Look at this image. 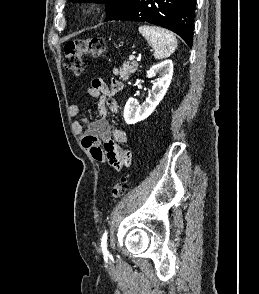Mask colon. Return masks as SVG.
Instances as JSON below:
<instances>
[{"mask_svg": "<svg viewBox=\"0 0 259 294\" xmlns=\"http://www.w3.org/2000/svg\"><path fill=\"white\" fill-rule=\"evenodd\" d=\"M105 50L102 38H83L69 41L64 46L63 65L67 71L79 74L82 71V56L98 57ZM127 189L126 179H120L112 188V197L118 199Z\"/></svg>", "mask_w": 259, "mask_h": 294, "instance_id": "1", "label": "colon"}]
</instances>
